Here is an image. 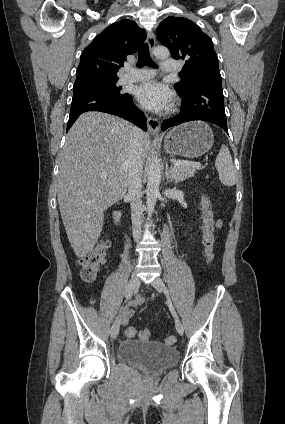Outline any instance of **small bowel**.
Masks as SVG:
<instances>
[{
  "instance_id": "obj_1",
  "label": "small bowel",
  "mask_w": 285,
  "mask_h": 424,
  "mask_svg": "<svg viewBox=\"0 0 285 424\" xmlns=\"http://www.w3.org/2000/svg\"><path fill=\"white\" fill-rule=\"evenodd\" d=\"M142 303H143V300L138 297L132 302L131 306L132 307H138V306L142 305ZM124 312H126V315H125V319H123L122 323L124 325H126L129 321V318L131 317L132 309H126Z\"/></svg>"
}]
</instances>
